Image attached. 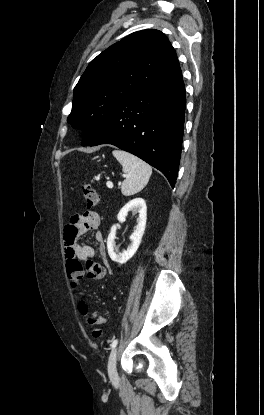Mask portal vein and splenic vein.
Listing matches in <instances>:
<instances>
[{"mask_svg":"<svg viewBox=\"0 0 264 415\" xmlns=\"http://www.w3.org/2000/svg\"><path fill=\"white\" fill-rule=\"evenodd\" d=\"M106 185H107V187H108V188H113V183H112V182H110V181H108V182L106 183Z\"/></svg>","mask_w":264,"mask_h":415,"instance_id":"1","label":"portal vein and splenic vein"}]
</instances>
